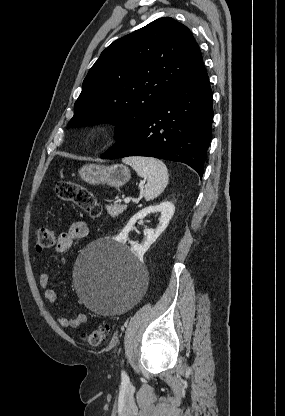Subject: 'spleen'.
<instances>
[{
  "instance_id": "1",
  "label": "spleen",
  "mask_w": 285,
  "mask_h": 416,
  "mask_svg": "<svg viewBox=\"0 0 285 416\" xmlns=\"http://www.w3.org/2000/svg\"><path fill=\"white\" fill-rule=\"evenodd\" d=\"M122 162L131 166L141 178H147L144 190L145 200H154L165 190L169 176L168 170L161 160L132 156V158H123Z\"/></svg>"
}]
</instances>
